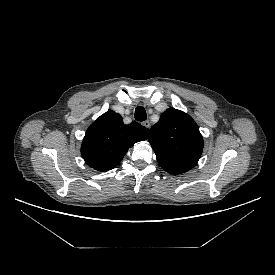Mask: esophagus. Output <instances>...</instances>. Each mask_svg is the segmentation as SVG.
Instances as JSON below:
<instances>
[{
  "label": "esophagus",
  "mask_w": 275,
  "mask_h": 275,
  "mask_svg": "<svg viewBox=\"0 0 275 275\" xmlns=\"http://www.w3.org/2000/svg\"><path fill=\"white\" fill-rule=\"evenodd\" d=\"M142 125L145 126V127L148 128V129H149L150 126H151V125H150V122H149L148 120L144 121V122L142 123Z\"/></svg>",
  "instance_id": "1"
}]
</instances>
